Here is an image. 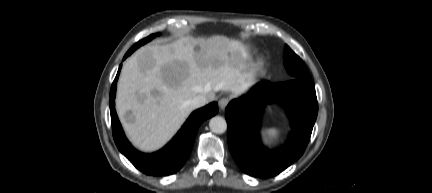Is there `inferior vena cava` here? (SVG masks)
Listing matches in <instances>:
<instances>
[{
	"mask_svg": "<svg viewBox=\"0 0 432 193\" xmlns=\"http://www.w3.org/2000/svg\"><path fill=\"white\" fill-rule=\"evenodd\" d=\"M209 99L204 96V95H197L196 97H194L192 100H190V106L193 109L199 108L203 105H205L206 103H208Z\"/></svg>",
	"mask_w": 432,
	"mask_h": 193,
	"instance_id": "inferior-vena-cava-1",
	"label": "inferior vena cava"
}]
</instances>
